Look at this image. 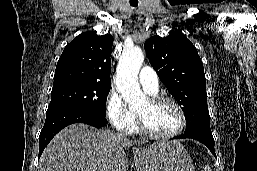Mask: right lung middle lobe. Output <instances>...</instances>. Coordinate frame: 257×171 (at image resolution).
<instances>
[{"label": "right lung middle lobe", "mask_w": 257, "mask_h": 171, "mask_svg": "<svg viewBox=\"0 0 257 171\" xmlns=\"http://www.w3.org/2000/svg\"><path fill=\"white\" fill-rule=\"evenodd\" d=\"M111 84L75 83L64 85L51 92L49 109L59 107H80L105 117L106 97Z\"/></svg>", "instance_id": "dd1d6c3e"}]
</instances>
